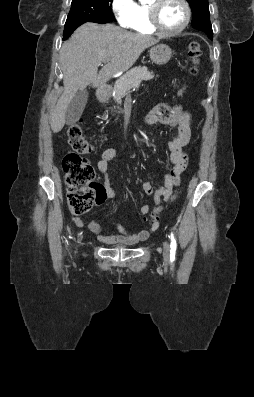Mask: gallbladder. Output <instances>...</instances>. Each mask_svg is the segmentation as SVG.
<instances>
[{
  "label": "gallbladder",
  "instance_id": "1",
  "mask_svg": "<svg viewBox=\"0 0 254 397\" xmlns=\"http://www.w3.org/2000/svg\"><path fill=\"white\" fill-rule=\"evenodd\" d=\"M87 99H88L87 89H83L76 93V95L73 97L66 110L65 122L67 125H73L78 121V119L83 113V110L87 103Z\"/></svg>",
  "mask_w": 254,
  "mask_h": 397
}]
</instances>
